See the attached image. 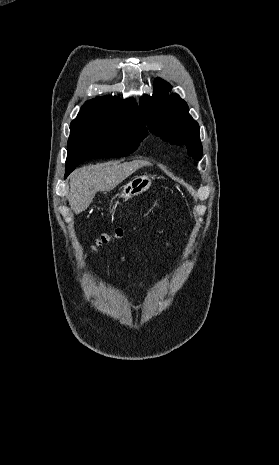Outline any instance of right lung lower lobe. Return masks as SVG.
<instances>
[{"mask_svg":"<svg viewBox=\"0 0 279 465\" xmlns=\"http://www.w3.org/2000/svg\"><path fill=\"white\" fill-rule=\"evenodd\" d=\"M72 171H67L65 177H67Z\"/></svg>","mask_w":279,"mask_h":465,"instance_id":"right-lung-lower-lobe-1","label":"right lung lower lobe"}]
</instances>
